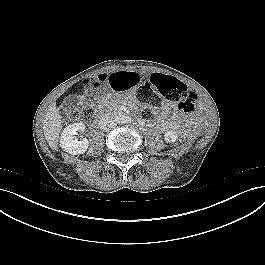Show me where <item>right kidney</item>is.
<instances>
[{"mask_svg": "<svg viewBox=\"0 0 265 265\" xmlns=\"http://www.w3.org/2000/svg\"><path fill=\"white\" fill-rule=\"evenodd\" d=\"M85 125L82 122L73 123L67 126L60 137L61 148L69 154L78 155L86 152L89 146V141L86 138L78 140L75 134L78 130L83 131Z\"/></svg>", "mask_w": 265, "mask_h": 265, "instance_id": "right-kidney-1", "label": "right kidney"}]
</instances>
